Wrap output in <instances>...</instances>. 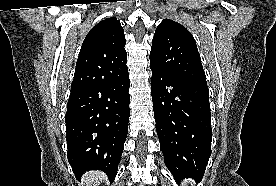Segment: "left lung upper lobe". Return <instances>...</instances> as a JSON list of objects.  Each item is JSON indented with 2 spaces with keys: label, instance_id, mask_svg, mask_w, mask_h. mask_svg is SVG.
I'll return each instance as SVG.
<instances>
[{
  "label": "left lung upper lobe",
  "instance_id": "left-lung-upper-lobe-1",
  "mask_svg": "<svg viewBox=\"0 0 276 186\" xmlns=\"http://www.w3.org/2000/svg\"><path fill=\"white\" fill-rule=\"evenodd\" d=\"M150 65L190 82L207 85L192 34L173 20L164 19L156 28Z\"/></svg>",
  "mask_w": 276,
  "mask_h": 186
}]
</instances>
